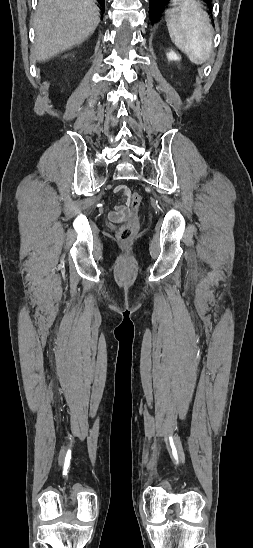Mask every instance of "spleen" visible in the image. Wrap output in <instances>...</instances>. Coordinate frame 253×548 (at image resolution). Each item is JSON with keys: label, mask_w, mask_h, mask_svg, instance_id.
Returning <instances> with one entry per match:
<instances>
[{"label": "spleen", "mask_w": 253, "mask_h": 548, "mask_svg": "<svg viewBox=\"0 0 253 548\" xmlns=\"http://www.w3.org/2000/svg\"><path fill=\"white\" fill-rule=\"evenodd\" d=\"M175 6L165 12L173 43L189 60L201 65L212 52V26L209 15L195 0H174Z\"/></svg>", "instance_id": "spleen-1"}]
</instances>
